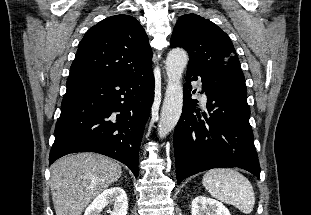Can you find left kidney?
I'll return each instance as SVG.
<instances>
[{
	"label": "left kidney",
	"instance_id": "left-kidney-1",
	"mask_svg": "<svg viewBox=\"0 0 311 215\" xmlns=\"http://www.w3.org/2000/svg\"><path fill=\"white\" fill-rule=\"evenodd\" d=\"M192 215H231L219 201L205 196H197L191 204Z\"/></svg>",
	"mask_w": 311,
	"mask_h": 215
}]
</instances>
